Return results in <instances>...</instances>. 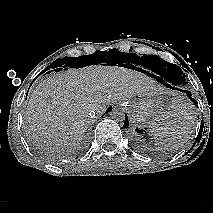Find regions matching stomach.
<instances>
[{
	"label": "stomach",
	"instance_id": "0dacf381",
	"mask_svg": "<svg viewBox=\"0 0 213 213\" xmlns=\"http://www.w3.org/2000/svg\"><path fill=\"white\" fill-rule=\"evenodd\" d=\"M129 110L136 126L151 129L158 124L157 117L167 109L159 94H145L133 97L129 101Z\"/></svg>",
	"mask_w": 213,
	"mask_h": 213
}]
</instances>
